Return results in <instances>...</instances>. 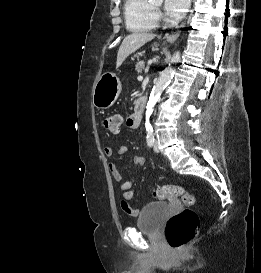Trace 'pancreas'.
<instances>
[{
	"instance_id": "1",
	"label": "pancreas",
	"mask_w": 261,
	"mask_h": 273,
	"mask_svg": "<svg viewBox=\"0 0 261 273\" xmlns=\"http://www.w3.org/2000/svg\"><path fill=\"white\" fill-rule=\"evenodd\" d=\"M145 68V63L144 61H138L135 65V70L138 72V73H141L143 71V69Z\"/></svg>"
}]
</instances>
